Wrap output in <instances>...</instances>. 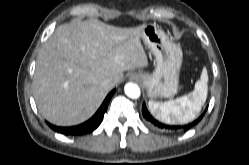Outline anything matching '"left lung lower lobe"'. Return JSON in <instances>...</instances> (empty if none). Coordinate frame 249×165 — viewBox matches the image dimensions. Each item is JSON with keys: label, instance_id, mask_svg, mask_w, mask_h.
Returning <instances> with one entry per match:
<instances>
[{"label": "left lung lower lobe", "instance_id": "obj_1", "mask_svg": "<svg viewBox=\"0 0 249 165\" xmlns=\"http://www.w3.org/2000/svg\"><path fill=\"white\" fill-rule=\"evenodd\" d=\"M142 114L143 117L152 125H154L155 127H157L158 129L161 130H167V131H179V130H186L189 129L193 126H195L197 123H199V121L202 119V117L204 116L205 112L195 121H193L192 123L188 124V125H184V126H169V125H165L162 124L160 122H158L157 120H155L148 112L145 104L142 105Z\"/></svg>", "mask_w": 249, "mask_h": 165}]
</instances>
